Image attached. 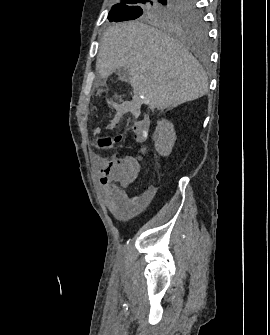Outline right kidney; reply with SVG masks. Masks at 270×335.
<instances>
[{"label":"right kidney","instance_id":"right-kidney-1","mask_svg":"<svg viewBox=\"0 0 270 335\" xmlns=\"http://www.w3.org/2000/svg\"><path fill=\"white\" fill-rule=\"evenodd\" d=\"M155 142V150L159 156H169L176 142L174 126L168 120L157 122V128L152 136Z\"/></svg>","mask_w":270,"mask_h":335}]
</instances>
